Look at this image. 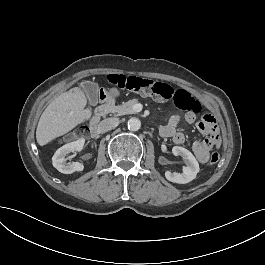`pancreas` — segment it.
I'll list each match as a JSON object with an SVG mask.
<instances>
[{"instance_id": "cf45deb5", "label": "pancreas", "mask_w": 265, "mask_h": 265, "mask_svg": "<svg viewBox=\"0 0 265 265\" xmlns=\"http://www.w3.org/2000/svg\"><path fill=\"white\" fill-rule=\"evenodd\" d=\"M138 103H140L139 98H134V99L128 100L127 102H123L121 105H117L114 107H108V108L115 116H121L125 114L134 113L132 110V107Z\"/></svg>"}]
</instances>
